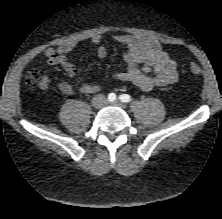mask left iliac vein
Masks as SVG:
<instances>
[{"mask_svg": "<svg viewBox=\"0 0 222 219\" xmlns=\"http://www.w3.org/2000/svg\"><path fill=\"white\" fill-rule=\"evenodd\" d=\"M114 104H115V105H118V106H121V107H124V103H122V102H119V101H117V102H114Z\"/></svg>", "mask_w": 222, "mask_h": 219, "instance_id": "obj_1", "label": "left iliac vein"}]
</instances>
